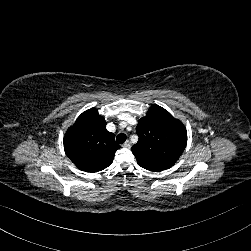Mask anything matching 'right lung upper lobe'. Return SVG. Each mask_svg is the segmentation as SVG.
<instances>
[{"label":"right lung upper lobe","mask_w":251,"mask_h":251,"mask_svg":"<svg viewBox=\"0 0 251 251\" xmlns=\"http://www.w3.org/2000/svg\"><path fill=\"white\" fill-rule=\"evenodd\" d=\"M119 148L114 134L106 130V121L98 115L96 108L83 112L64 137V149L68 158L77 168L90 173L111 165Z\"/></svg>","instance_id":"1"}]
</instances>
